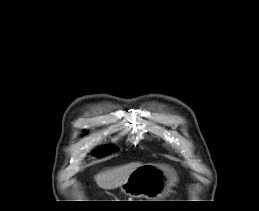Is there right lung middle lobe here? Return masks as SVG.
Returning <instances> with one entry per match:
<instances>
[{
	"instance_id": "dd1d6c3e",
	"label": "right lung middle lobe",
	"mask_w": 259,
	"mask_h": 211,
	"mask_svg": "<svg viewBox=\"0 0 259 211\" xmlns=\"http://www.w3.org/2000/svg\"><path fill=\"white\" fill-rule=\"evenodd\" d=\"M116 150H117L116 147L110 146V147L101 148V149L97 150L96 152H94V154L96 156H104V155L110 154Z\"/></svg>"
}]
</instances>
